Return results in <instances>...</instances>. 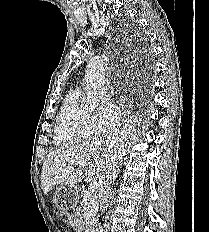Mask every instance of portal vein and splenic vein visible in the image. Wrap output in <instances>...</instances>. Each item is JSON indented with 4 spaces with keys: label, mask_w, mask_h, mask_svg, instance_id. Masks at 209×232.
<instances>
[{
    "label": "portal vein and splenic vein",
    "mask_w": 209,
    "mask_h": 232,
    "mask_svg": "<svg viewBox=\"0 0 209 232\" xmlns=\"http://www.w3.org/2000/svg\"><path fill=\"white\" fill-rule=\"evenodd\" d=\"M72 163L75 165H79L81 167L87 166V163L85 161H73ZM97 188H98L97 179L94 177L90 182L89 192L93 194L96 192Z\"/></svg>",
    "instance_id": "1"
}]
</instances>
